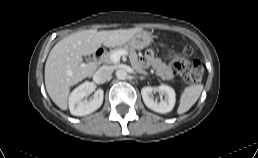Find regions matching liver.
<instances>
[{"label":"liver","mask_w":258,"mask_h":158,"mask_svg":"<svg viewBox=\"0 0 258 158\" xmlns=\"http://www.w3.org/2000/svg\"><path fill=\"white\" fill-rule=\"evenodd\" d=\"M141 28L73 33L60 40L50 51L45 64V86L52 101L67 109L70 87L93 75L95 65L83 63L82 56L94 53L101 45L118 47L126 44Z\"/></svg>","instance_id":"6515ba94"}]
</instances>
